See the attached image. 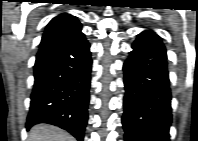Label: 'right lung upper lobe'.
<instances>
[{"label": "right lung upper lobe", "instance_id": "right-lung-upper-lobe-1", "mask_svg": "<svg viewBox=\"0 0 198 141\" xmlns=\"http://www.w3.org/2000/svg\"><path fill=\"white\" fill-rule=\"evenodd\" d=\"M82 26L76 17L62 13L53 18L43 34L40 50L67 40L81 32Z\"/></svg>", "mask_w": 198, "mask_h": 141}]
</instances>
